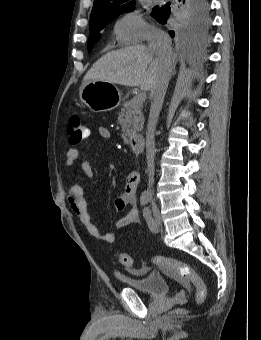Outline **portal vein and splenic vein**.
Segmentation results:
<instances>
[{"label":"portal vein and splenic vein","instance_id":"18ae733b","mask_svg":"<svg viewBox=\"0 0 261 340\" xmlns=\"http://www.w3.org/2000/svg\"><path fill=\"white\" fill-rule=\"evenodd\" d=\"M145 100H146V93H145V92L136 95V96L132 99V101H133L134 104H141V103H143Z\"/></svg>","mask_w":261,"mask_h":340}]
</instances>
